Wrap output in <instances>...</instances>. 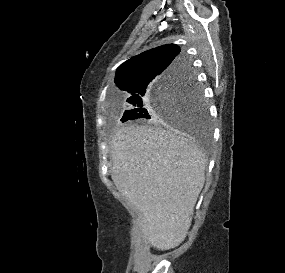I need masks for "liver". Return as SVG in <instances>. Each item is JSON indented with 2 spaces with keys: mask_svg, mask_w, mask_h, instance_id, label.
<instances>
[{
  "mask_svg": "<svg viewBox=\"0 0 285 273\" xmlns=\"http://www.w3.org/2000/svg\"><path fill=\"white\" fill-rule=\"evenodd\" d=\"M112 180L145 217L143 233L159 250L179 246L205 183L206 156L174 130L128 125L111 139Z\"/></svg>",
  "mask_w": 285,
  "mask_h": 273,
  "instance_id": "obj_1",
  "label": "liver"
}]
</instances>
